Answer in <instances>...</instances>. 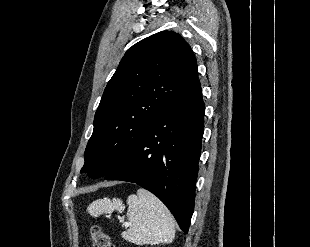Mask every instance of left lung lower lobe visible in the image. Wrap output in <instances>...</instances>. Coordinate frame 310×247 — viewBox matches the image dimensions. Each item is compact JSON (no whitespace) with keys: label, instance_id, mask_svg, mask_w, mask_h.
Wrapping results in <instances>:
<instances>
[{"label":"left lung lower lobe","instance_id":"left-lung-lower-lobe-1","mask_svg":"<svg viewBox=\"0 0 310 247\" xmlns=\"http://www.w3.org/2000/svg\"><path fill=\"white\" fill-rule=\"evenodd\" d=\"M204 112L196 80L151 124L131 155L104 177L133 182L155 194L185 233L194 211Z\"/></svg>","mask_w":310,"mask_h":247}]
</instances>
